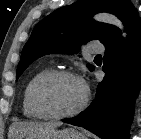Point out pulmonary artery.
Wrapping results in <instances>:
<instances>
[{"label":"pulmonary artery","instance_id":"e3ab8cb5","mask_svg":"<svg viewBox=\"0 0 141 139\" xmlns=\"http://www.w3.org/2000/svg\"><path fill=\"white\" fill-rule=\"evenodd\" d=\"M89 50L93 53H101L104 51V47L98 43H92L89 46Z\"/></svg>","mask_w":141,"mask_h":139}]
</instances>
